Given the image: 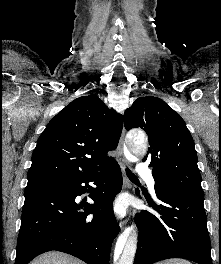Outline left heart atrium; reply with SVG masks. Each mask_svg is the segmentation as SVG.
Returning a JSON list of instances; mask_svg holds the SVG:
<instances>
[{"mask_svg": "<svg viewBox=\"0 0 221 264\" xmlns=\"http://www.w3.org/2000/svg\"><path fill=\"white\" fill-rule=\"evenodd\" d=\"M126 200L124 197H119L115 200L114 209L118 214H124L126 210Z\"/></svg>", "mask_w": 221, "mask_h": 264, "instance_id": "obj_1", "label": "left heart atrium"}]
</instances>
